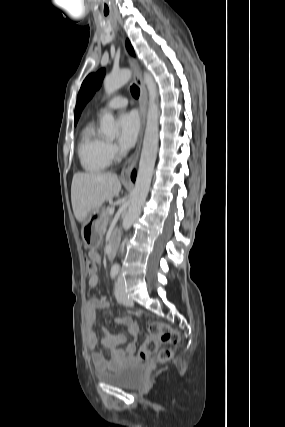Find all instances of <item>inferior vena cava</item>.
<instances>
[{"label":"inferior vena cava","instance_id":"1","mask_svg":"<svg viewBox=\"0 0 285 427\" xmlns=\"http://www.w3.org/2000/svg\"><path fill=\"white\" fill-rule=\"evenodd\" d=\"M123 249H124V243L122 244V251H123Z\"/></svg>","mask_w":285,"mask_h":427}]
</instances>
